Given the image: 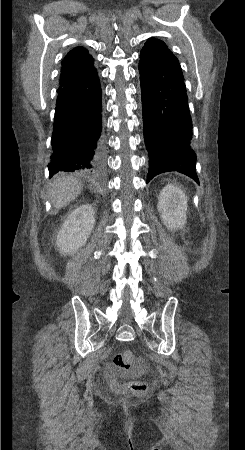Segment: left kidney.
Masks as SVG:
<instances>
[{
	"instance_id": "left-kidney-1",
	"label": "left kidney",
	"mask_w": 245,
	"mask_h": 450,
	"mask_svg": "<svg viewBox=\"0 0 245 450\" xmlns=\"http://www.w3.org/2000/svg\"><path fill=\"white\" fill-rule=\"evenodd\" d=\"M187 197L174 185L165 186L159 194L158 212L168 229H182L186 224Z\"/></svg>"
}]
</instances>
